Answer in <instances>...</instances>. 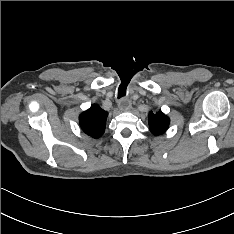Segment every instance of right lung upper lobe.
Here are the masks:
<instances>
[{
  "label": "right lung upper lobe",
  "instance_id": "right-lung-upper-lobe-1",
  "mask_svg": "<svg viewBox=\"0 0 234 234\" xmlns=\"http://www.w3.org/2000/svg\"><path fill=\"white\" fill-rule=\"evenodd\" d=\"M107 115L106 111L93 104L80 115V126L87 135L92 138H99L105 131Z\"/></svg>",
  "mask_w": 234,
  "mask_h": 234
}]
</instances>
